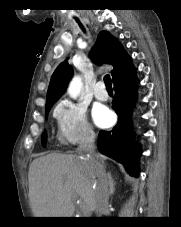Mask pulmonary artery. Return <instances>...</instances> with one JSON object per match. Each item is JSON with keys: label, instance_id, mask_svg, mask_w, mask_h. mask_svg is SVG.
I'll use <instances>...</instances> for the list:
<instances>
[{"label": "pulmonary artery", "instance_id": "pulmonary-artery-1", "mask_svg": "<svg viewBox=\"0 0 181 227\" xmlns=\"http://www.w3.org/2000/svg\"><path fill=\"white\" fill-rule=\"evenodd\" d=\"M94 96L99 101H107L108 100V93L105 90L104 83L102 81H99L96 84L95 90H94Z\"/></svg>", "mask_w": 181, "mask_h": 227}]
</instances>
